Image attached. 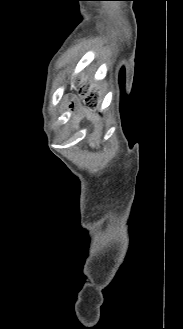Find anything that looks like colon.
<instances>
[{
	"instance_id": "colon-1",
	"label": "colon",
	"mask_w": 183,
	"mask_h": 329,
	"mask_svg": "<svg viewBox=\"0 0 183 329\" xmlns=\"http://www.w3.org/2000/svg\"><path fill=\"white\" fill-rule=\"evenodd\" d=\"M57 91H58V93H65L66 88H65V86H58ZM96 99H97V95L95 93H90L89 95H87V101L90 105H94ZM68 107L70 109H73L75 107V104L73 102H70L68 104ZM76 107L78 109H81L83 107V104L81 102H78L76 104Z\"/></svg>"
}]
</instances>
